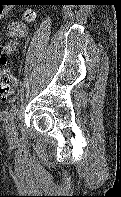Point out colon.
Listing matches in <instances>:
<instances>
[{
  "instance_id": "1",
  "label": "colon",
  "mask_w": 121,
  "mask_h": 197,
  "mask_svg": "<svg viewBox=\"0 0 121 197\" xmlns=\"http://www.w3.org/2000/svg\"><path fill=\"white\" fill-rule=\"evenodd\" d=\"M33 19V11L27 9L22 21L12 22L8 27V39L0 52V102H5L14 91V78L9 68L8 57L17 49L19 41L25 36L26 23L33 21Z\"/></svg>"
}]
</instances>
